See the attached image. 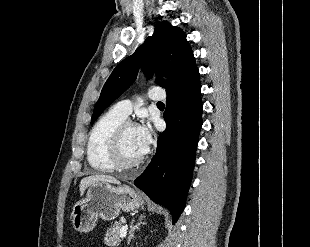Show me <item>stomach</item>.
Wrapping results in <instances>:
<instances>
[{"mask_svg": "<svg viewBox=\"0 0 310 247\" xmlns=\"http://www.w3.org/2000/svg\"><path fill=\"white\" fill-rule=\"evenodd\" d=\"M143 204V198L130 186L114 187L98 182L90 185L86 196L73 205L70 219L74 230L89 232L96 226L98 218L112 221L121 210L130 212Z\"/></svg>", "mask_w": 310, "mask_h": 247, "instance_id": "0dacf381", "label": "stomach"}]
</instances>
